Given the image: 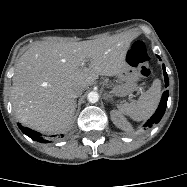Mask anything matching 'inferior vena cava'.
I'll use <instances>...</instances> for the list:
<instances>
[{
    "label": "inferior vena cava",
    "instance_id": "1",
    "mask_svg": "<svg viewBox=\"0 0 187 187\" xmlns=\"http://www.w3.org/2000/svg\"><path fill=\"white\" fill-rule=\"evenodd\" d=\"M82 92H83V89L80 87H77L71 91V97L77 98L82 94Z\"/></svg>",
    "mask_w": 187,
    "mask_h": 187
}]
</instances>
